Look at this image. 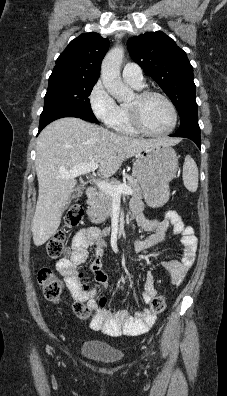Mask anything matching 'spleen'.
Wrapping results in <instances>:
<instances>
[{
    "mask_svg": "<svg viewBox=\"0 0 227 396\" xmlns=\"http://www.w3.org/2000/svg\"><path fill=\"white\" fill-rule=\"evenodd\" d=\"M182 176L186 189L190 192H196L198 188V167L189 155L185 158Z\"/></svg>",
    "mask_w": 227,
    "mask_h": 396,
    "instance_id": "obj_1",
    "label": "spleen"
}]
</instances>
